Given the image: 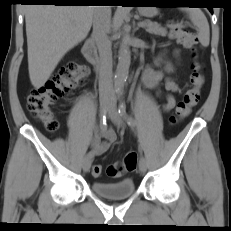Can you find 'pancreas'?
<instances>
[{"instance_id": "cf45deb5", "label": "pancreas", "mask_w": 231, "mask_h": 231, "mask_svg": "<svg viewBox=\"0 0 231 231\" xmlns=\"http://www.w3.org/2000/svg\"><path fill=\"white\" fill-rule=\"evenodd\" d=\"M143 23L147 32L155 35H161V36L167 35V30L161 27L158 23L151 22L150 20H145Z\"/></svg>"}]
</instances>
